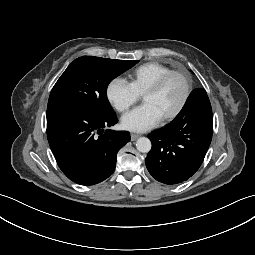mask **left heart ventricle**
Returning a JSON list of instances; mask_svg holds the SVG:
<instances>
[{
    "instance_id": "obj_1",
    "label": "left heart ventricle",
    "mask_w": 255,
    "mask_h": 255,
    "mask_svg": "<svg viewBox=\"0 0 255 255\" xmlns=\"http://www.w3.org/2000/svg\"><path fill=\"white\" fill-rule=\"evenodd\" d=\"M184 91L183 79L178 75H173L158 92L145 95L143 100L145 103L153 104L164 117L177 108Z\"/></svg>"
}]
</instances>
